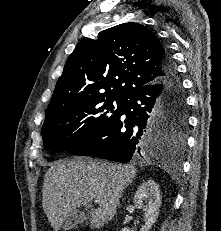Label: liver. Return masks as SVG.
<instances>
[{
	"instance_id": "liver-1",
	"label": "liver",
	"mask_w": 221,
	"mask_h": 231,
	"mask_svg": "<svg viewBox=\"0 0 221 231\" xmlns=\"http://www.w3.org/2000/svg\"><path fill=\"white\" fill-rule=\"evenodd\" d=\"M132 165L73 158L53 164L46 172L42 206L48 221L58 231L76 208L89 210L91 229H100L114 217L124 189L136 176ZM103 201L97 209L92 200Z\"/></svg>"
}]
</instances>
